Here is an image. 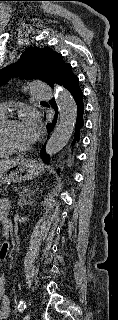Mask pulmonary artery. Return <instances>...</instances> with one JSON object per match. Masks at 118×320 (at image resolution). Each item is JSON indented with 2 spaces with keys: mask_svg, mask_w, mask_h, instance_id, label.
Listing matches in <instances>:
<instances>
[{
  "mask_svg": "<svg viewBox=\"0 0 118 320\" xmlns=\"http://www.w3.org/2000/svg\"><path fill=\"white\" fill-rule=\"evenodd\" d=\"M30 92L38 100H48L52 97L51 89L43 83H33L30 86ZM6 104H0V111L5 114Z\"/></svg>",
  "mask_w": 118,
  "mask_h": 320,
  "instance_id": "obj_1",
  "label": "pulmonary artery"
}]
</instances>
